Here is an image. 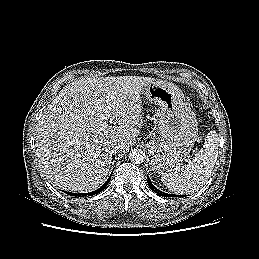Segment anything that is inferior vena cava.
I'll return each instance as SVG.
<instances>
[{
	"mask_svg": "<svg viewBox=\"0 0 259 259\" xmlns=\"http://www.w3.org/2000/svg\"><path fill=\"white\" fill-rule=\"evenodd\" d=\"M110 148H111V152H112V153H117V152L119 151V149L121 148V144H120V143H117V142L112 143V144L110 145Z\"/></svg>",
	"mask_w": 259,
	"mask_h": 259,
	"instance_id": "1",
	"label": "inferior vena cava"
}]
</instances>
